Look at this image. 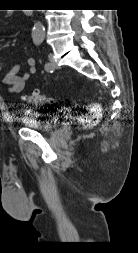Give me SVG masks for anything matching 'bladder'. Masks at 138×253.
<instances>
[{
  "instance_id": "bladder-1",
  "label": "bladder",
  "mask_w": 138,
  "mask_h": 253,
  "mask_svg": "<svg viewBox=\"0 0 138 253\" xmlns=\"http://www.w3.org/2000/svg\"><path fill=\"white\" fill-rule=\"evenodd\" d=\"M21 123L29 129L51 133L59 128L60 120L54 115H40L29 112L21 119Z\"/></svg>"
}]
</instances>
